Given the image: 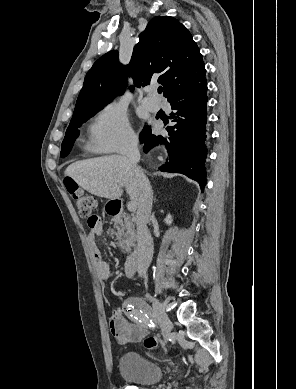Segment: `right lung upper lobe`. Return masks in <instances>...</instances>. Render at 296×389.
I'll return each instance as SVG.
<instances>
[{
    "instance_id": "obj_1",
    "label": "right lung upper lobe",
    "mask_w": 296,
    "mask_h": 389,
    "mask_svg": "<svg viewBox=\"0 0 296 389\" xmlns=\"http://www.w3.org/2000/svg\"><path fill=\"white\" fill-rule=\"evenodd\" d=\"M205 72L200 50L186 27L170 16H157L135 45L129 65L119 63L115 50L94 63L86 74L74 114L104 107L123 94L127 76L133 77L138 88L157 80L170 102L180 94L203 88L207 84Z\"/></svg>"
}]
</instances>
